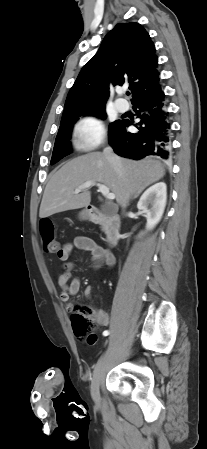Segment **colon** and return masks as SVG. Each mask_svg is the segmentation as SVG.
<instances>
[{
  "label": "colon",
  "mask_w": 207,
  "mask_h": 449,
  "mask_svg": "<svg viewBox=\"0 0 207 449\" xmlns=\"http://www.w3.org/2000/svg\"><path fill=\"white\" fill-rule=\"evenodd\" d=\"M40 229L45 252H58L59 247L55 238L53 223L49 219H42ZM91 314L92 309L84 308L74 313L71 319L73 331L77 336L84 338L88 345H94L97 341V334L92 330L93 322L89 318Z\"/></svg>",
  "instance_id": "5ec220e1"
}]
</instances>
